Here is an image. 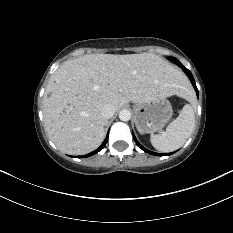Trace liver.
<instances>
[{"mask_svg": "<svg viewBox=\"0 0 233 233\" xmlns=\"http://www.w3.org/2000/svg\"><path fill=\"white\" fill-rule=\"evenodd\" d=\"M187 91L182 73L158 55H84L64 62L51 76L43 99L45 129L60 151L83 155L105 138V104L119 110L130 101L184 96Z\"/></svg>", "mask_w": 233, "mask_h": 233, "instance_id": "obj_1", "label": "liver"}]
</instances>
